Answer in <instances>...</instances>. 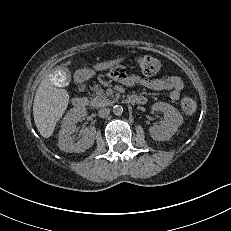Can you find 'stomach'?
I'll list each match as a JSON object with an SVG mask.
<instances>
[{
	"label": "stomach",
	"instance_id": "obj_1",
	"mask_svg": "<svg viewBox=\"0 0 231 231\" xmlns=\"http://www.w3.org/2000/svg\"><path fill=\"white\" fill-rule=\"evenodd\" d=\"M124 61V58H118L112 61H105V62H100L98 64L95 65L94 69L95 70H106V69H110L118 64H120L121 62ZM95 71L91 70V69H80L77 71V77L80 80H87L90 77H92L94 75Z\"/></svg>",
	"mask_w": 231,
	"mask_h": 231
}]
</instances>
